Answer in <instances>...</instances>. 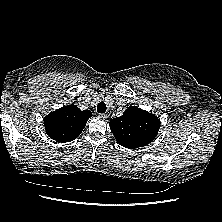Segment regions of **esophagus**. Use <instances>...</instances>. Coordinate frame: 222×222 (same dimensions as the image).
Listing matches in <instances>:
<instances>
[{
    "mask_svg": "<svg viewBox=\"0 0 222 222\" xmlns=\"http://www.w3.org/2000/svg\"><path fill=\"white\" fill-rule=\"evenodd\" d=\"M99 117L102 119H107L108 118V114L104 113V114H99Z\"/></svg>",
    "mask_w": 222,
    "mask_h": 222,
    "instance_id": "obj_1",
    "label": "esophagus"
}]
</instances>
